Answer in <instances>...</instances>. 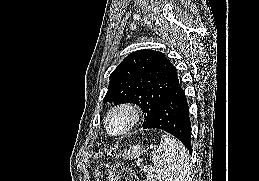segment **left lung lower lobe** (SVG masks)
<instances>
[{
	"label": "left lung lower lobe",
	"instance_id": "obj_1",
	"mask_svg": "<svg viewBox=\"0 0 259 181\" xmlns=\"http://www.w3.org/2000/svg\"><path fill=\"white\" fill-rule=\"evenodd\" d=\"M143 128L162 129L172 134L192 153L189 107L179 82L163 100L153 120Z\"/></svg>",
	"mask_w": 259,
	"mask_h": 181
}]
</instances>
